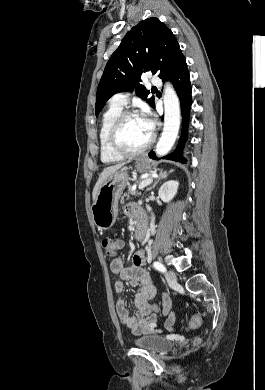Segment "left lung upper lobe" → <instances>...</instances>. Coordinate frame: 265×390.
Returning a JSON list of instances; mask_svg holds the SVG:
<instances>
[{"label": "left lung upper lobe", "mask_w": 265, "mask_h": 390, "mask_svg": "<svg viewBox=\"0 0 265 390\" xmlns=\"http://www.w3.org/2000/svg\"><path fill=\"white\" fill-rule=\"evenodd\" d=\"M172 31L158 18H148L134 26L109 59L97 89L96 115L115 93L136 90L146 100L149 91L139 82L141 74L160 72L164 79L181 54ZM154 107V97L147 99Z\"/></svg>", "instance_id": "1"}]
</instances>
